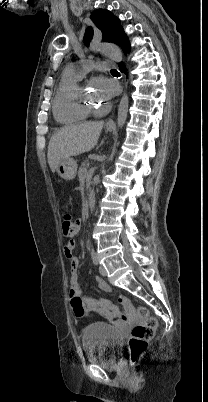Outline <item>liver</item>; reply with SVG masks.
Instances as JSON below:
<instances>
[{"label": "liver", "mask_w": 208, "mask_h": 402, "mask_svg": "<svg viewBox=\"0 0 208 402\" xmlns=\"http://www.w3.org/2000/svg\"><path fill=\"white\" fill-rule=\"evenodd\" d=\"M103 126L104 122H85L60 128L48 146L47 158L51 172H56L62 160L90 152L96 146Z\"/></svg>", "instance_id": "liver-1"}]
</instances>
